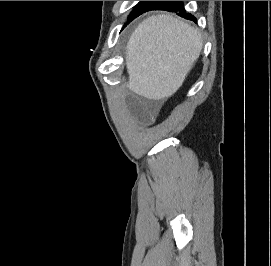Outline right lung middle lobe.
<instances>
[{
	"instance_id": "obj_1",
	"label": "right lung middle lobe",
	"mask_w": 271,
	"mask_h": 266,
	"mask_svg": "<svg viewBox=\"0 0 271 266\" xmlns=\"http://www.w3.org/2000/svg\"><path fill=\"white\" fill-rule=\"evenodd\" d=\"M160 2L161 1H140L138 5L134 8V10L131 12V14L128 16V22L132 21L140 14L151 10Z\"/></svg>"
}]
</instances>
